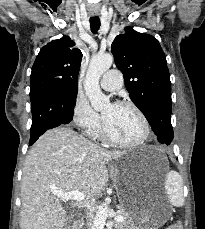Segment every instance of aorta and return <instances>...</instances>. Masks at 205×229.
Returning <instances> with one entry per match:
<instances>
[{"mask_svg": "<svg viewBox=\"0 0 205 229\" xmlns=\"http://www.w3.org/2000/svg\"><path fill=\"white\" fill-rule=\"evenodd\" d=\"M113 63L111 54H98L92 57L86 77L84 80V90L95 110H100L109 104V97L103 94L100 89V77ZM108 217V205L103 203L98 208L94 217L92 229H104Z\"/></svg>", "mask_w": 205, "mask_h": 229, "instance_id": "762f6f07", "label": "aorta"}]
</instances>
